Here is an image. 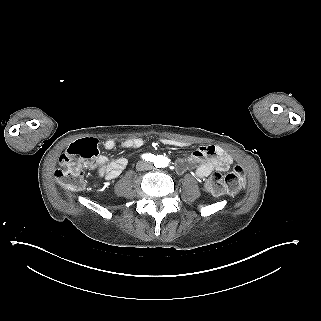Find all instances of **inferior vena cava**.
Returning a JSON list of instances; mask_svg holds the SVG:
<instances>
[{
	"mask_svg": "<svg viewBox=\"0 0 321 321\" xmlns=\"http://www.w3.org/2000/svg\"><path fill=\"white\" fill-rule=\"evenodd\" d=\"M136 169L139 172H144L145 170H151L152 169V164L149 161L140 160L136 164Z\"/></svg>",
	"mask_w": 321,
	"mask_h": 321,
	"instance_id": "obj_1",
	"label": "inferior vena cava"
}]
</instances>
